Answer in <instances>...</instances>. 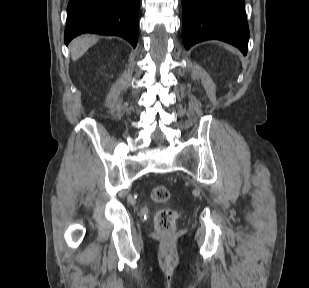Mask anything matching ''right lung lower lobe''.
<instances>
[{"mask_svg":"<svg viewBox=\"0 0 309 288\" xmlns=\"http://www.w3.org/2000/svg\"><path fill=\"white\" fill-rule=\"evenodd\" d=\"M139 0H69L65 44L82 33L116 35L137 44Z\"/></svg>","mask_w":309,"mask_h":288,"instance_id":"1","label":"right lung lower lobe"}]
</instances>
